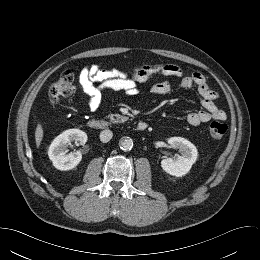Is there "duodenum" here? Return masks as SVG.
<instances>
[{
  "label": "duodenum",
  "mask_w": 260,
  "mask_h": 260,
  "mask_svg": "<svg viewBox=\"0 0 260 260\" xmlns=\"http://www.w3.org/2000/svg\"><path fill=\"white\" fill-rule=\"evenodd\" d=\"M88 125L90 128L95 130H104L109 127V123L102 119L93 118L88 121ZM137 130L144 131L147 129V123L144 121H140L136 125Z\"/></svg>",
  "instance_id": "410a0bca"
}]
</instances>
